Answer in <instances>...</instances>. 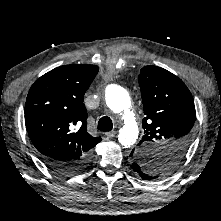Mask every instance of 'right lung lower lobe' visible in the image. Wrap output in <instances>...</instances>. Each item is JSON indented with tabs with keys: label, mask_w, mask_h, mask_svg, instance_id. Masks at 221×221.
Returning a JSON list of instances; mask_svg holds the SVG:
<instances>
[{
	"label": "right lung lower lobe",
	"mask_w": 221,
	"mask_h": 221,
	"mask_svg": "<svg viewBox=\"0 0 221 221\" xmlns=\"http://www.w3.org/2000/svg\"><path fill=\"white\" fill-rule=\"evenodd\" d=\"M44 163L54 170L55 172L61 174V175H71L80 171H83L86 169L90 162H91V156L84 157L79 161H71V162H58L54 160H49L42 158Z\"/></svg>",
	"instance_id": "1"
}]
</instances>
